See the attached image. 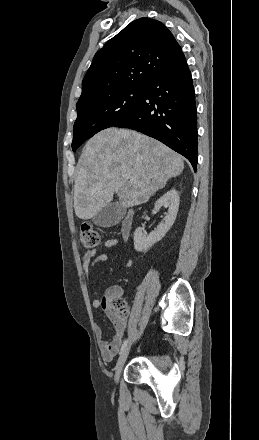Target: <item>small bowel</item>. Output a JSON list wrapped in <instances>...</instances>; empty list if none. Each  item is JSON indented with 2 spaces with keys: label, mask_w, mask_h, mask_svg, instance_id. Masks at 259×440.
<instances>
[{
  "label": "small bowel",
  "mask_w": 259,
  "mask_h": 440,
  "mask_svg": "<svg viewBox=\"0 0 259 440\" xmlns=\"http://www.w3.org/2000/svg\"><path fill=\"white\" fill-rule=\"evenodd\" d=\"M121 244L122 242L119 239L113 238V239L105 240L103 246L110 248ZM107 259L108 257L106 254L96 255L95 249L87 250L82 257V267L86 277H89L91 275L92 269L95 266V264L99 262H104ZM132 263L133 262L131 259L126 260V266L129 267L132 265ZM113 291H115L114 294L115 296H119L121 294L120 288L111 287L107 290L106 295L102 299H100L98 297V292L94 291L93 292L94 299L92 301L93 308L95 309L102 308L103 310H105L115 326V332L110 340H104L102 338L103 333L100 327H97L96 329V335L99 339V349L103 359L106 361H110L116 355L126 331L125 321L118 319V317L114 314V312L107 305L104 304V298L111 295Z\"/></svg>",
  "instance_id": "c3829d8e"
}]
</instances>
